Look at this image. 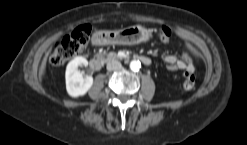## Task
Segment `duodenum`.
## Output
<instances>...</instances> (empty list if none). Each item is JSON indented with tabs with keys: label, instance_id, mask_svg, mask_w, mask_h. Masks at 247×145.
Here are the masks:
<instances>
[{
	"label": "duodenum",
	"instance_id": "duodenum-1",
	"mask_svg": "<svg viewBox=\"0 0 247 145\" xmlns=\"http://www.w3.org/2000/svg\"><path fill=\"white\" fill-rule=\"evenodd\" d=\"M93 43L96 45L101 44V40L99 39L98 36H94ZM135 58L140 60L142 63H144L147 66H150L152 63L151 59L145 55H135ZM102 65L103 64H102V61L100 59L94 58L90 61V68L94 71L100 70Z\"/></svg>",
	"mask_w": 247,
	"mask_h": 145
}]
</instances>
